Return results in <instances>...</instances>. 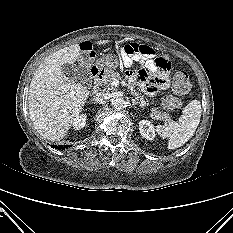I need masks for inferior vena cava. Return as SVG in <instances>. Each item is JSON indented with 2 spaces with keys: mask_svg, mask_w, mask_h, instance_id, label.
Returning <instances> with one entry per match:
<instances>
[{
  "mask_svg": "<svg viewBox=\"0 0 233 233\" xmlns=\"http://www.w3.org/2000/svg\"><path fill=\"white\" fill-rule=\"evenodd\" d=\"M109 98L108 94L106 93H97L94 96V102L98 103V104H103L104 102H106V100Z\"/></svg>",
  "mask_w": 233,
  "mask_h": 233,
  "instance_id": "602c4592",
  "label": "inferior vena cava"
}]
</instances>
